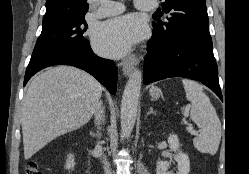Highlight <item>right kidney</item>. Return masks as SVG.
Masks as SVG:
<instances>
[{
	"label": "right kidney",
	"mask_w": 249,
	"mask_h": 174,
	"mask_svg": "<svg viewBox=\"0 0 249 174\" xmlns=\"http://www.w3.org/2000/svg\"><path fill=\"white\" fill-rule=\"evenodd\" d=\"M74 166H75L74 155L70 154V155H68V158L66 160L65 167L68 170H70V169L72 170L74 168Z\"/></svg>",
	"instance_id": "right-kidney-1"
}]
</instances>
